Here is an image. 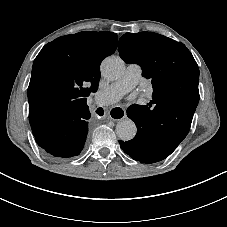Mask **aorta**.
Here are the masks:
<instances>
[{
    "label": "aorta",
    "mask_w": 227,
    "mask_h": 227,
    "mask_svg": "<svg viewBox=\"0 0 227 227\" xmlns=\"http://www.w3.org/2000/svg\"><path fill=\"white\" fill-rule=\"evenodd\" d=\"M100 70L102 76L107 80H117L124 72V62L118 57L109 56L102 61ZM136 132V125L130 119L122 120L116 126V133L119 139L123 141L132 140Z\"/></svg>",
    "instance_id": "obj_1"
}]
</instances>
